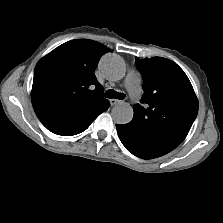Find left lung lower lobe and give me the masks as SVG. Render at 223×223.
I'll list each match as a JSON object with an SVG mask.
<instances>
[{
  "instance_id": "left-lung-lower-lobe-1",
  "label": "left lung lower lobe",
  "mask_w": 223,
  "mask_h": 223,
  "mask_svg": "<svg viewBox=\"0 0 223 223\" xmlns=\"http://www.w3.org/2000/svg\"><path fill=\"white\" fill-rule=\"evenodd\" d=\"M118 136L123 145L135 156L142 159L157 158L169 153L165 148L153 145L138 138L137 132L128 124L116 125Z\"/></svg>"
}]
</instances>
